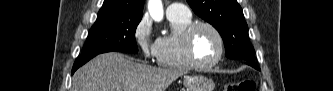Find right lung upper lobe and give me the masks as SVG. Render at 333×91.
I'll return each mask as SVG.
<instances>
[{
	"mask_svg": "<svg viewBox=\"0 0 333 91\" xmlns=\"http://www.w3.org/2000/svg\"><path fill=\"white\" fill-rule=\"evenodd\" d=\"M143 5L144 0H105L97 18L142 16Z\"/></svg>",
	"mask_w": 333,
	"mask_h": 91,
	"instance_id": "obj_1",
	"label": "right lung upper lobe"
}]
</instances>
